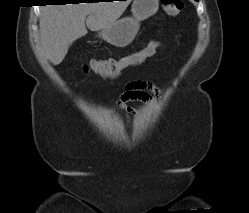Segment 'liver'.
<instances>
[{"instance_id":"1","label":"liver","mask_w":249,"mask_h":213,"mask_svg":"<svg viewBox=\"0 0 249 213\" xmlns=\"http://www.w3.org/2000/svg\"><path fill=\"white\" fill-rule=\"evenodd\" d=\"M131 0L47 5L41 9L40 41L53 65L60 64L70 45L87 34L113 24ZM87 17V18H86ZM86 23V25H85Z\"/></svg>"}]
</instances>
